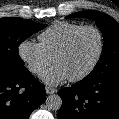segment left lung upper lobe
Here are the masks:
<instances>
[{
    "label": "left lung upper lobe",
    "instance_id": "left-lung-upper-lobe-1",
    "mask_svg": "<svg viewBox=\"0 0 119 119\" xmlns=\"http://www.w3.org/2000/svg\"><path fill=\"white\" fill-rule=\"evenodd\" d=\"M87 17L96 22L103 33L104 46L99 62L89 74L92 76L111 75L119 72V24L109 15L93 10L80 11L67 16Z\"/></svg>",
    "mask_w": 119,
    "mask_h": 119
}]
</instances>
